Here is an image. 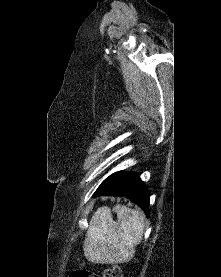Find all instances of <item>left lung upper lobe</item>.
<instances>
[{
	"label": "left lung upper lobe",
	"mask_w": 221,
	"mask_h": 277,
	"mask_svg": "<svg viewBox=\"0 0 221 277\" xmlns=\"http://www.w3.org/2000/svg\"><path fill=\"white\" fill-rule=\"evenodd\" d=\"M117 173H118V172H116V173L112 174V175H111V176H109V177H112V176L116 175ZM109 177H108V178H109Z\"/></svg>",
	"instance_id": "left-lung-upper-lobe-1"
}]
</instances>
